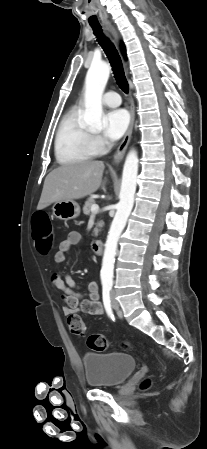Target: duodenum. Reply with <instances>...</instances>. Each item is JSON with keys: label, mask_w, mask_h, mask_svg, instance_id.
<instances>
[{"label": "duodenum", "mask_w": 207, "mask_h": 449, "mask_svg": "<svg viewBox=\"0 0 207 449\" xmlns=\"http://www.w3.org/2000/svg\"><path fill=\"white\" fill-rule=\"evenodd\" d=\"M91 248L94 253L101 254L103 252V241L101 239L92 240Z\"/></svg>", "instance_id": "duodenum-1"}]
</instances>
